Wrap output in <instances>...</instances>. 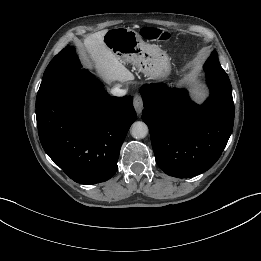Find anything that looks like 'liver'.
<instances>
[{"label":"liver","instance_id":"1","mask_svg":"<svg viewBox=\"0 0 261 261\" xmlns=\"http://www.w3.org/2000/svg\"><path fill=\"white\" fill-rule=\"evenodd\" d=\"M107 30L90 34L84 39V48L94 63L99 76L107 83H121L134 79L133 74L103 42Z\"/></svg>","mask_w":261,"mask_h":261}]
</instances>
